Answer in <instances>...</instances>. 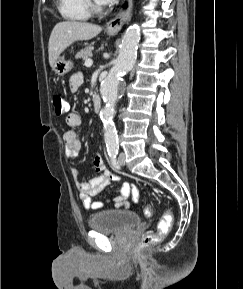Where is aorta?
I'll return each mask as SVG.
<instances>
[{"label": "aorta", "mask_w": 243, "mask_h": 289, "mask_svg": "<svg viewBox=\"0 0 243 289\" xmlns=\"http://www.w3.org/2000/svg\"><path fill=\"white\" fill-rule=\"evenodd\" d=\"M140 40L139 26L134 24L127 28L114 66L101 83L100 93L105 102L100 112L104 125V140L108 152L115 153L119 149L117 131L113 122L116 114L115 105L123 75L135 64L138 43Z\"/></svg>", "instance_id": "1"}]
</instances>
